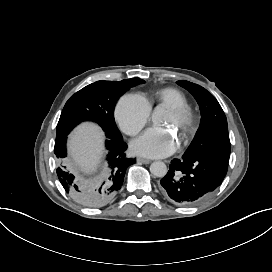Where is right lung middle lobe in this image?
<instances>
[{"label":"right lung middle lobe","mask_w":272,"mask_h":272,"mask_svg":"<svg viewBox=\"0 0 272 272\" xmlns=\"http://www.w3.org/2000/svg\"><path fill=\"white\" fill-rule=\"evenodd\" d=\"M139 83H144V80L131 78L122 81H97L75 93L63 108L56 129V140L68 135L83 121L98 123L111 139L121 138L114 120V107L126 90Z\"/></svg>","instance_id":"1"}]
</instances>
